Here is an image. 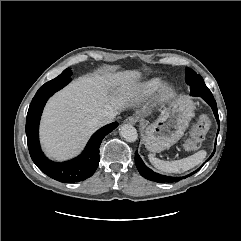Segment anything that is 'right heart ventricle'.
<instances>
[{"label": "right heart ventricle", "mask_w": 241, "mask_h": 241, "mask_svg": "<svg viewBox=\"0 0 241 241\" xmlns=\"http://www.w3.org/2000/svg\"><path fill=\"white\" fill-rule=\"evenodd\" d=\"M161 84L160 78H150L140 84L139 93L143 97H150L160 88Z\"/></svg>", "instance_id": "1"}]
</instances>
